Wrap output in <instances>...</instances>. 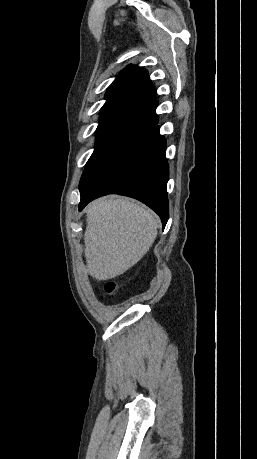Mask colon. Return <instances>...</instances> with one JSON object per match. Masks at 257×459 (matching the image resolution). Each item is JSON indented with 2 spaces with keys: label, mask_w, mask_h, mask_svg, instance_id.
<instances>
[{
  "label": "colon",
  "mask_w": 257,
  "mask_h": 459,
  "mask_svg": "<svg viewBox=\"0 0 257 459\" xmlns=\"http://www.w3.org/2000/svg\"><path fill=\"white\" fill-rule=\"evenodd\" d=\"M117 288H118L117 284L115 282H112V281L111 282H107L105 284V287H104L105 292L108 293V294L114 293L117 290Z\"/></svg>",
  "instance_id": "obj_1"
}]
</instances>
